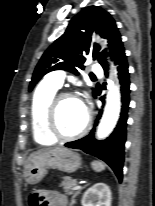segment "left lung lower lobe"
Instances as JSON below:
<instances>
[{
  "label": "left lung lower lobe",
  "instance_id": "0a47b994",
  "mask_svg": "<svg viewBox=\"0 0 155 206\" xmlns=\"http://www.w3.org/2000/svg\"><path fill=\"white\" fill-rule=\"evenodd\" d=\"M115 64L117 65L118 78L121 85V102L122 108L120 113V119L113 133L107 139L98 141L94 138L93 132L84 138L76 141L68 142L65 144L66 147L81 149L84 152L94 155L101 160L105 161L115 172L119 181H122V169L124 162V144L126 141V122H127V111L129 107V93H130V82L128 64L125 55L124 48L121 47L114 56ZM107 73L108 67L104 68ZM94 97H96L94 95ZM103 101V99L101 98ZM102 115V110L98 111V119ZM97 123L95 124V126Z\"/></svg>",
  "mask_w": 155,
  "mask_h": 206
}]
</instances>
